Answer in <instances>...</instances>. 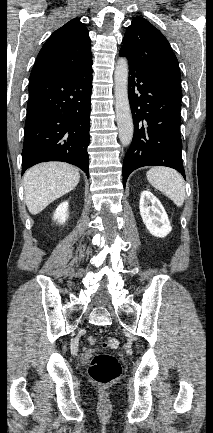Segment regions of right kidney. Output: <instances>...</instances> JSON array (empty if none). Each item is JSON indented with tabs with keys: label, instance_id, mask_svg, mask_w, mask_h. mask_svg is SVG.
<instances>
[{
	"label": "right kidney",
	"instance_id": "right-kidney-1",
	"mask_svg": "<svg viewBox=\"0 0 213 433\" xmlns=\"http://www.w3.org/2000/svg\"><path fill=\"white\" fill-rule=\"evenodd\" d=\"M68 218V202L61 203L55 213L54 220H57L60 224H63L65 220Z\"/></svg>",
	"mask_w": 213,
	"mask_h": 433
}]
</instances>
